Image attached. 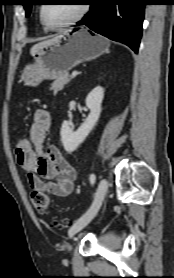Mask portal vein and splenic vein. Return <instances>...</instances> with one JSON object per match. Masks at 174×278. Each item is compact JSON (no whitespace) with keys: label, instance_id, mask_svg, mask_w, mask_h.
<instances>
[{"label":"portal vein and splenic vein","instance_id":"1","mask_svg":"<svg viewBox=\"0 0 174 278\" xmlns=\"http://www.w3.org/2000/svg\"><path fill=\"white\" fill-rule=\"evenodd\" d=\"M77 75H78L77 71H73L72 74H71L72 77H76Z\"/></svg>","mask_w":174,"mask_h":278}]
</instances>
